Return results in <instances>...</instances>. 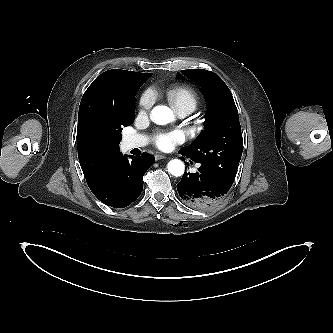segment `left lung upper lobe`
I'll return each instance as SVG.
<instances>
[{"label":"left lung upper lobe","instance_id":"obj_1","mask_svg":"<svg viewBox=\"0 0 333 333\" xmlns=\"http://www.w3.org/2000/svg\"><path fill=\"white\" fill-rule=\"evenodd\" d=\"M181 72L203 86L210 108L206 129L179 153L201 163V166L232 185L243 150L239 115L232 94L222 79L213 72L203 69ZM178 77H181L179 73Z\"/></svg>","mask_w":333,"mask_h":333}]
</instances>
